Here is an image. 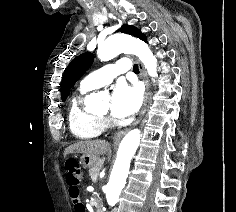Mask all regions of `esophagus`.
I'll use <instances>...</instances> for the list:
<instances>
[{
  "instance_id": "obj_1",
  "label": "esophagus",
  "mask_w": 236,
  "mask_h": 212,
  "mask_svg": "<svg viewBox=\"0 0 236 212\" xmlns=\"http://www.w3.org/2000/svg\"><path fill=\"white\" fill-rule=\"evenodd\" d=\"M138 65H139L141 78H142V80L145 84V95H144V102H143V106H142L141 112L139 114V117L132 124V126L137 125L141 121L142 117L144 116V114L146 112V109H147L148 94H149V83H148V80H147L145 70L143 68V65L139 61H138ZM129 129L130 128H126L124 130L118 131L113 137L114 143H118L123 138V136L129 131Z\"/></svg>"
}]
</instances>
